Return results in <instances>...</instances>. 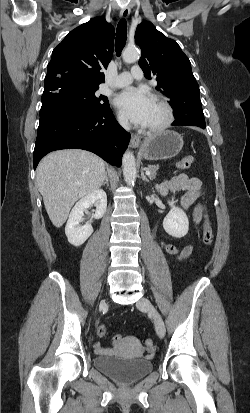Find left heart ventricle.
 <instances>
[{
	"mask_svg": "<svg viewBox=\"0 0 250 413\" xmlns=\"http://www.w3.org/2000/svg\"><path fill=\"white\" fill-rule=\"evenodd\" d=\"M164 120V111L163 109L153 101L148 120L145 126H155L160 124Z\"/></svg>",
	"mask_w": 250,
	"mask_h": 413,
	"instance_id": "obj_1",
	"label": "left heart ventricle"
}]
</instances>
